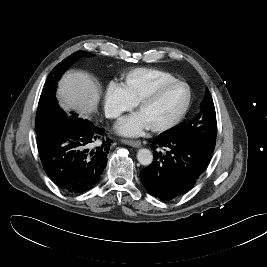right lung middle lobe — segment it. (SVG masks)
<instances>
[{
  "label": "right lung middle lobe",
  "instance_id": "dd1d6c3e",
  "mask_svg": "<svg viewBox=\"0 0 267 267\" xmlns=\"http://www.w3.org/2000/svg\"><path fill=\"white\" fill-rule=\"evenodd\" d=\"M81 55L91 56L92 54L78 51L59 63L48 75L46 83L36 113L35 131L37 134L42 132V129L47 126L54 118L67 116L66 113L59 107L55 92L57 84L62 74L77 60ZM71 117H76L72 115Z\"/></svg>",
  "mask_w": 267,
  "mask_h": 267
}]
</instances>
